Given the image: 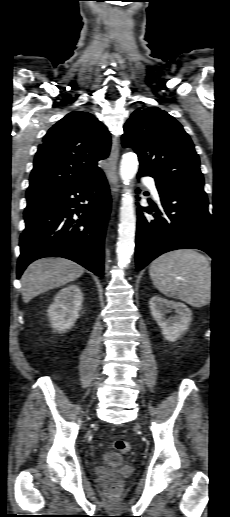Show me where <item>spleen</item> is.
<instances>
[{
    "mask_svg": "<svg viewBox=\"0 0 230 517\" xmlns=\"http://www.w3.org/2000/svg\"><path fill=\"white\" fill-rule=\"evenodd\" d=\"M155 287L165 296L193 307L211 300V265L194 250H175L155 259L149 268Z\"/></svg>",
    "mask_w": 230,
    "mask_h": 517,
    "instance_id": "spleen-1",
    "label": "spleen"
}]
</instances>
